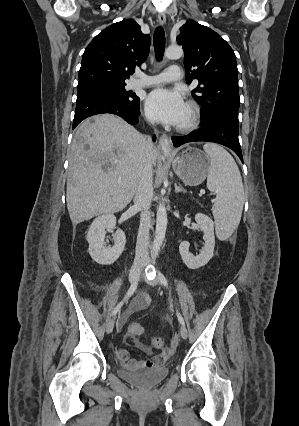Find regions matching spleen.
<instances>
[{
    "instance_id": "1",
    "label": "spleen",
    "mask_w": 299,
    "mask_h": 426,
    "mask_svg": "<svg viewBox=\"0 0 299 426\" xmlns=\"http://www.w3.org/2000/svg\"><path fill=\"white\" fill-rule=\"evenodd\" d=\"M211 161L207 187L216 194L212 207L217 236L228 239L240 223L244 188L233 157L221 146L207 143L203 147Z\"/></svg>"
}]
</instances>
